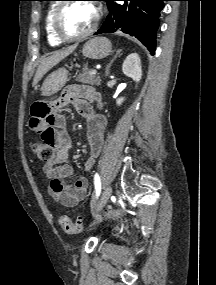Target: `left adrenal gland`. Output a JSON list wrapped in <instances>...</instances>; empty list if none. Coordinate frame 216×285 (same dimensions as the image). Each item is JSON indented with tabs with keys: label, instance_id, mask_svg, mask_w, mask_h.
Listing matches in <instances>:
<instances>
[{
	"label": "left adrenal gland",
	"instance_id": "obj_1",
	"mask_svg": "<svg viewBox=\"0 0 216 285\" xmlns=\"http://www.w3.org/2000/svg\"><path fill=\"white\" fill-rule=\"evenodd\" d=\"M121 49L120 50H117L116 51V54L114 55V57H113V59L110 61V63L107 65V67H106V72H105V74H106V76H108L109 75V69H110V67H111V65H112V63L114 62V60L118 57V55L121 53Z\"/></svg>",
	"mask_w": 216,
	"mask_h": 285
}]
</instances>
